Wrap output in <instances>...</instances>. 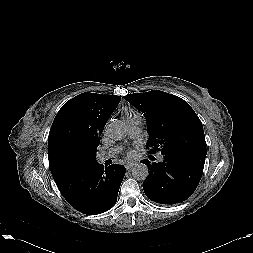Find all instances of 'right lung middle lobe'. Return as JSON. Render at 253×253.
Segmentation results:
<instances>
[{
  "mask_svg": "<svg viewBox=\"0 0 253 253\" xmlns=\"http://www.w3.org/2000/svg\"><path fill=\"white\" fill-rule=\"evenodd\" d=\"M95 161H96V150L90 156H88L84 160H82L81 166H84L89 163H93Z\"/></svg>",
  "mask_w": 253,
  "mask_h": 253,
  "instance_id": "1",
  "label": "right lung middle lobe"
}]
</instances>
